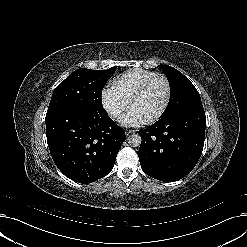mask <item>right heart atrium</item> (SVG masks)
<instances>
[{
	"label": "right heart atrium",
	"mask_w": 247,
	"mask_h": 247,
	"mask_svg": "<svg viewBox=\"0 0 247 247\" xmlns=\"http://www.w3.org/2000/svg\"><path fill=\"white\" fill-rule=\"evenodd\" d=\"M104 99L110 111L114 115L120 116L122 111L124 110V106L118 101V98L111 93H107Z\"/></svg>",
	"instance_id": "d8ad5b80"
}]
</instances>
